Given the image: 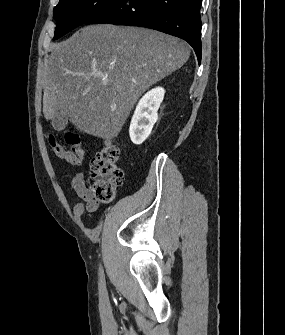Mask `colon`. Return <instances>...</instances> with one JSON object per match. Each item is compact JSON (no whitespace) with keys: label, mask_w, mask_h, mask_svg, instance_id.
I'll list each match as a JSON object with an SVG mask.
<instances>
[{"label":"colon","mask_w":285,"mask_h":335,"mask_svg":"<svg viewBox=\"0 0 285 335\" xmlns=\"http://www.w3.org/2000/svg\"><path fill=\"white\" fill-rule=\"evenodd\" d=\"M48 143L54 153L72 165L81 164L84 157L81 137L76 132H67L65 141L69 148L61 145L54 135L48 134ZM119 147L107 141L90 163L89 184L93 197L100 202H111L117 189L123 184L124 174L118 166Z\"/></svg>","instance_id":"obj_1"}]
</instances>
